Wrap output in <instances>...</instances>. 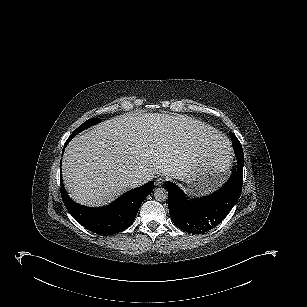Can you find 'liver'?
<instances>
[{
  "label": "liver",
  "mask_w": 307,
  "mask_h": 307,
  "mask_svg": "<svg viewBox=\"0 0 307 307\" xmlns=\"http://www.w3.org/2000/svg\"><path fill=\"white\" fill-rule=\"evenodd\" d=\"M218 136L191 117L131 112L97 124L65 149L62 177L77 203L97 207L129 190L137 177L185 181L219 161Z\"/></svg>",
  "instance_id": "obj_1"
}]
</instances>
